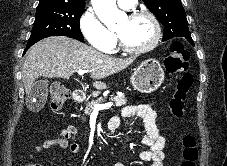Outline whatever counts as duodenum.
Segmentation results:
<instances>
[{
	"mask_svg": "<svg viewBox=\"0 0 227 166\" xmlns=\"http://www.w3.org/2000/svg\"><path fill=\"white\" fill-rule=\"evenodd\" d=\"M73 99H74V101H75L76 103H81V102L84 101L85 96H84V94H83L82 91L76 90V91H74V93H73ZM115 126H116L115 122H114L113 120H111V121H110V127H111L112 129H114Z\"/></svg>",
	"mask_w": 227,
	"mask_h": 166,
	"instance_id": "obj_1",
	"label": "duodenum"
}]
</instances>
